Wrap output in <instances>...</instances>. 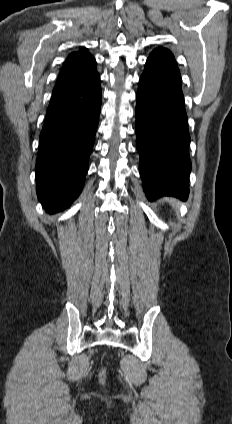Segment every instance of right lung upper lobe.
<instances>
[{"label": "right lung upper lobe", "instance_id": "1", "mask_svg": "<svg viewBox=\"0 0 232 424\" xmlns=\"http://www.w3.org/2000/svg\"><path fill=\"white\" fill-rule=\"evenodd\" d=\"M98 74L94 57L85 49L71 53L63 64L54 88L71 80Z\"/></svg>", "mask_w": 232, "mask_h": 424}]
</instances>
